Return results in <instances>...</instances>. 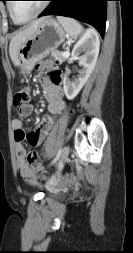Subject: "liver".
Listing matches in <instances>:
<instances>
[{
	"instance_id": "liver-1",
	"label": "liver",
	"mask_w": 133,
	"mask_h": 253,
	"mask_svg": "<svg viewBox=\"0 0 133 253\" xmlns=\"http://www.w3.org/2000/svg\"><path fill=\"white\" fill-rule=\"evenodd\" d=\"M44 19L45 18H41V19H37L31 22L28 27L18 32L11 39L10 45H9V54H10L11 61L14 65H16L17 63V55H18L19 49L21 48L23 43L36 32L38 26Z\"/></svg>"
}]
</instances>
